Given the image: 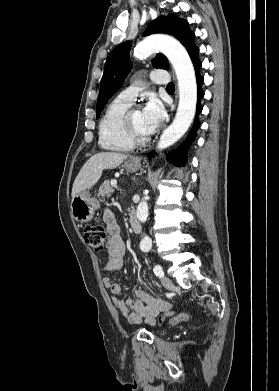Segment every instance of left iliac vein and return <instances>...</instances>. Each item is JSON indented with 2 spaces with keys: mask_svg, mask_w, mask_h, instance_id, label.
I'll return each instance as SVG.
<instances>
[{
  "mask_svg": "<svg viewBox=\"0 0 279 391\" xmlns=\"http://www.w3.org/2000/svg\"><path fill=\"white\" fill-rule=\"evenodd\" d=\"M162 285L166 288H171L173 286V283L171 279L167 276H163L161 279Z\"/></svg>",
  "mask_w": 279,
  "mask_h": 391,
  "instance_id": "1",
  "label": "left iliac vein"
}]
</instances>
